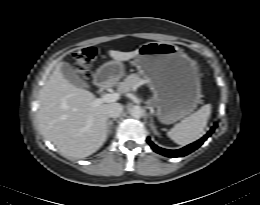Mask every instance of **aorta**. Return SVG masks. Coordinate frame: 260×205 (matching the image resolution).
I'll list each match as a JSON object with an SVG mask.
<instances>
[{"mask_svg":"<svg viewBox=\"0 0 260 205\" xmlns=\"http://www.w3.org/2000/svg\"><path fill=\"white\" fill-rule=\"evenodd\" d=\"M129 113L133 118L139 119L143 116L144 110L140 106H133L130 108Z\"/></svg>","mask_w":260,"mask_h":205,"instance_id":"aorta-1","label":"aorta"}]
</instances>
